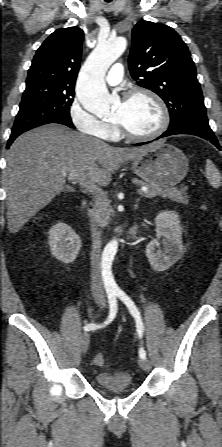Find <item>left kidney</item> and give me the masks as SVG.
<instances>
[{
	"label": "left kidney",
	"instance_id": "5707ae66",
	"mask_svg": "<svg viewBox=\"0 0 222 447\" xmlns=\"http://www.w3.org/2000/svg\"><path fill=\"white\" fill-rule=\"evenodd\" d=\"M157 238L146 246V256L152 268L163 272L173 266L181 257L182 228L179 215L174 211H161L155 218ZM160 245L163 252L159 253ZM158 248V250H156Z\"/></svg>",
	"mask_w": 222,
	"mask_h": 447
}]
</instances>
